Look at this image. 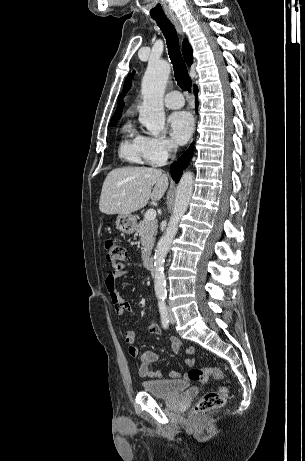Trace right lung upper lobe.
I'll use <instances>...</instances> for the list:
<instances>
[{"label": "right lung upper lobe", "mask_w": 305, "mask_h": 461, "mask_svg": "<svg viewBox=\"0 0 305 461\" xmlns=\"http://www.w3.org/2000/svg\"><path fill=\"white\" fill-rule=\"evenodd\" d=\"M182 51H183V56H184V59H185L187 65L190 66L192 64V62H193L192 48H191L190 44L188 43V41L186 39L183 41ZM123 106H124L123 101H118V107H117V109L115 111L114 116L111 119V122L112 121H117L118 119H120L121 114H122Z\"/></svg>", "instance_id": "right-lung-upper-lobe-1"}]
</instances>
